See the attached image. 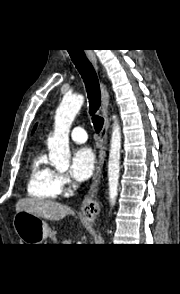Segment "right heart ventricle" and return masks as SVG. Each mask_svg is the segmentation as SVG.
Listing matches in <instances>:
<instances>
[{
	"instance_id": "e07e8e85",
	"label": "right heart ventricle",
	"mask_w": 180,
	"mask_h": 294,
	"mask_svg": "<svg viewBox=\"0 0 180 294\" xmlns=\"http://www.w3.org/2000/svg\"><path fill=\"white\" fill-rule=\"evenodd\" d=\"M56 171L47 164L45 154L38 152L30 164L27 181V192L29 196L49 200L59 195L56 183Z\"/></svg>"
}]
</instances>
